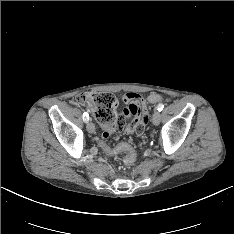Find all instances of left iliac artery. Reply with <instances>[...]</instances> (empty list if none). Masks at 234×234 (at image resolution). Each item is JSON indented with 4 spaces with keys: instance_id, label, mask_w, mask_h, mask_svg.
I'll use <instances>...</instances> for the list:
<instances>
[{
    "instance_id": "1",
    "label": "left iliac artery",
    "mask_w": 234,
    "mask_h": 234,
    "mask_svg": "<svg viewBox=\"0 0 234 234\" xmlns=\"http://www.w3.org/2000/svg\"><path fill=\"white\" fill-rule=\"evenodd\" d=\"M163 108H164V105H163L162 103H159V104L157 105V110H158V111H162Z\"/></svg>"
}]
</instances>
